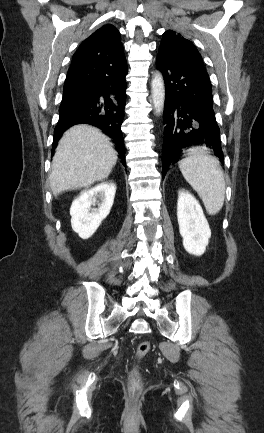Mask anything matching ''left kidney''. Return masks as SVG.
<instances>
[{"instance_id":"1","label":"left kidney","mask_w":264,"mask_h":433,"mask_svg":"<svg viewBox=\"0 0 264 433\" xmlns=\"http://www.w3.org/2000/svg\"><path fill=\"white\" fill-rule=\"evenodd\" d=\"M177 219L184 249L195 256L204 254L211 230L199 202L184 189L178 192Z\"/></svg>"}]
</instances>
